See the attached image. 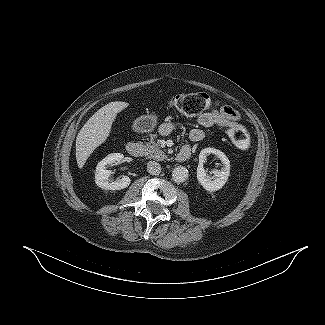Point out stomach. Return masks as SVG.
<instances>
[{"label":"stomach","mask_w":325,"mask_h":325,"mask_svg":"<svg viewBox=\"0 0 325 325\" xmlns=\"http://www.w3.org/2000/svg\"><path fill=\"white\" fill-rule=\"evenodd\" d=\"M157 125V117L155 115H144L139 117L133 125L136 132L150 133Z\"/></svg>","instance_id":"1"}]
</instances>
